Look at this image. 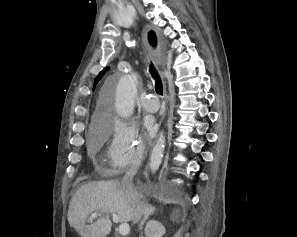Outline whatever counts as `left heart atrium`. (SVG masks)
Listing matches in <instances>:
<instances>
[{
    "instance_id": "obj_1",
    "label": "left heart atrium",
    "mask_w": 297,
    "mask_h": 237,
    "mask_svg": "<svg viewBox=\"0 0 297 237\" xmlns=\"http://www.w3.org/2000/svg\"><path fill=\"white\" fill-rule=\"evenodd\" d=\"M144 125L149 132H152L154 121L151 117H147L144 121Z\"/></svg>"
}]
</instances>
